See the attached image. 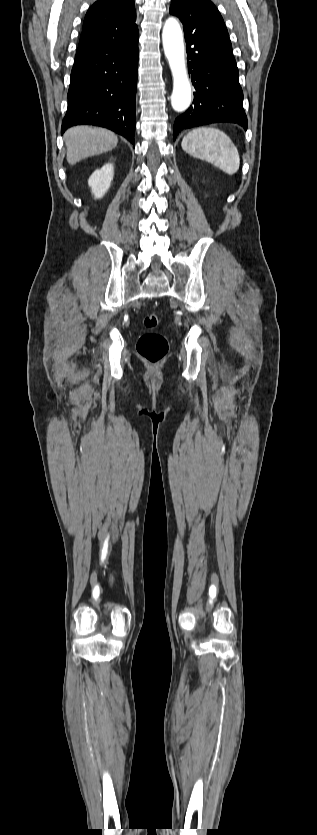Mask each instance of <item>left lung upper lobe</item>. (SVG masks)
<instances>
[{"mask_svg": "<svg viewBox=\"0 0 317 835\" xmlns=\"http://www.w3.org/2000/svg\"><path fill=\"white\" fill-rule=\"evenodd\" d=\"M170 13L179 17L183 26L190 23L192 16L206 15L222 19L210 0H171Z\"/></svg>", "mask_w": 317, "mask_h": 835, "instance_id": "obj_1", "label": "left lung upper lobe"}]
</instances>
